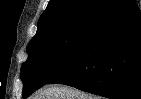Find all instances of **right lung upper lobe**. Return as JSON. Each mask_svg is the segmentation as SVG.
Instances as JSON below:
<instances>
[{"instance_id": "right-lung-upper-lobe-1", "label": "right lung upper lobe", "mask_w": 141, "mask_h": 99, "mask_svg": "<svg viewBox=\"0 0 141 99\" xmlns=\"http://www.w3.org/2000/svg\"><path fill=\"white\" fill-rule=\"evenodd\" d=\"M134 3V0H50L33 38L81 22H102Z\"/></svg>"}]
</instances>
